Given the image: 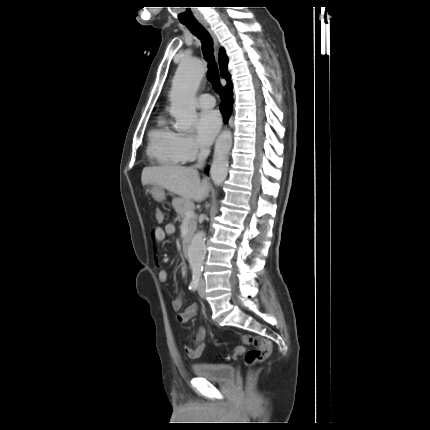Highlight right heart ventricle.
Segmentation results:
<instances>
[{
  "instance_id": "e07e8e85",
  "label": "right heart ventricle",
  "mask_w": 430,
  "mask_h": 430,
  "mask_svg": "<svg viewBox=\"0 0 430 430\" xmlns=\"http://www.w3.org/2000/svg\"><path fill=\"white\" fill-rule=\"evenodd\" d=\"M179 134L172 130L165 117H159L148 133L147 154L155 163L164 166H177L185 160L177 141Z\"/></svg>"
}]
</instances>
